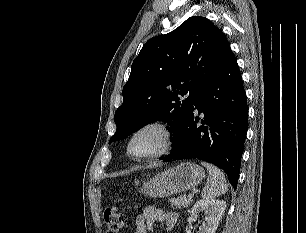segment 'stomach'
I'll return each instance as SVG.
<instances>
[{
	"label": "stomach",
	"instance_id": "0dacf381",
	"mask_svg": "<svg viewBox=\"0 0 306 233\" xmlns=\"http://www.w3.org/2000/svg\"><path fill=\"white\" fill-rule=\"evenodd\" d=\"M205 177L202 167L191 162H182L156 174L143 184L141 192L150 197H166L196 187Z\"/></svg>",
	"mask_w": 306,
	"mask_h": 233
}]
</instances>
